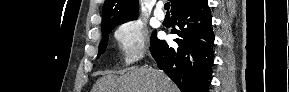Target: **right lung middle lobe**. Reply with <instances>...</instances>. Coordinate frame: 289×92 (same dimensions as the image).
Returning <instances> with one entry per match:
<instances>
[{"label": "right lung middle lobe", "mask_w": 289, "mask_h": 92, "mask_svg": "<svg viewBox=\"0 0 289 92\" xmlns=\"http://www.w3.org/2000/svg\"><path fill=\"white\" fill-rule=\"evenodd\" d=\"M122 23H125V22H122ZM122 23H117V24H113V25H110L104 29H102V36H103V40L100 42V45H99V53H98V58L100 56V54L104 53L105 50H106V46H107V43H108V34L112 31V29L119 25V24H122ZM155 38V33L152 34L151 36V40ZM150 40V42H151Z\"/></svg>", "instance_id": "1"}]
</instances>
